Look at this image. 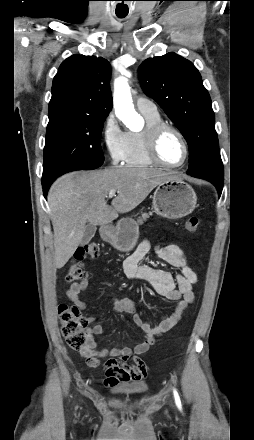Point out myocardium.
I'll use <instances>...</instances> for the list:
<instances>
[{
	"label": "myocardium",
	"instance_id": "myocardium-1",
	"mask_svg": "<svg viewBox=\"0 0 254 440\" xmlns=\"http://www.w3.org/2000/svg\"><path fill=\"white\" fill-rule=\"evenodd\" d=\"M166 131H172L174 132L181 140L183 148H184V158L181 163L172 165L168 164L165 161L162 160L159 154V141L161 139V136ZM146 151L149 156V158L158 166L169 168V169H175L182 167L188 160L189 157V144L185 137V135L182 133L180 129H178L176 126L161 122L158 124H155L151 127H149L146 130Z\"/></svg>",
	"mask_w": 254,
	"mask_h": 440
}]
</instances>
